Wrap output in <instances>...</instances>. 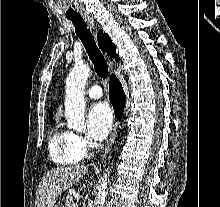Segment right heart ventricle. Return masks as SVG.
<instances>
[{"mask_svg": "<svg viewBox=\"0 0 220 207\" xmlns=\"http://www.w3.org/2000/svg\"><path fill=\"white\" fill-rule=\"evenodd\" d=\"M48 148L52 161L57 165H73L85 156V150L78 145L75 134L59 126L50 134Z\"/></svg>", "mask_w": 220, "mask_h": 207, "instance_id": "obj_1", "label": "right heart ventricle"}]
</instances>
